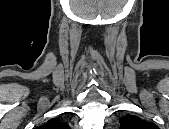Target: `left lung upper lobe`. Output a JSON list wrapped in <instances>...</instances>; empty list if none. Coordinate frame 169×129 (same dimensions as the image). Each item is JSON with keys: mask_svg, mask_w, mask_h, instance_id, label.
<instances>
[{"mask_svg": "<svg viewBox=\"0 0 169 129\" xmlns=\"http://www.w3.org/2000/svg\"><path fill=\"white\" fill-rule=\"evenodd\" d=\"M120 129H158L157 125L144 121L137 116L129 115L119 120Z\"/></svg>", "mask_w": 169, "mask_h": 129, "instance_id": "left-lung-upper-lobe-1", "label": "left lung upper lobe"}]
</instances>
